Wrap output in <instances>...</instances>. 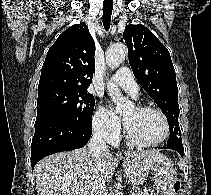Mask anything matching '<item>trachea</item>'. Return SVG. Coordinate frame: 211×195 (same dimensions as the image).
<instances>
[{"mask_svg": "<svg viewBox=\"0 0 211 195\" xmlns=\"http://www.w3.org/2000/svg\"><path fill=\"white\" fill-rule=\"evenodd\" d=\"M112 10H113L112 1H107L103 3V26L106 31H108L110 28Z\"/></svg>", "mask_w": 211, "mask_h": 195, "instance_id": "3493384b", "label": "trachea"}]
</instances>
